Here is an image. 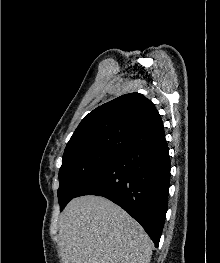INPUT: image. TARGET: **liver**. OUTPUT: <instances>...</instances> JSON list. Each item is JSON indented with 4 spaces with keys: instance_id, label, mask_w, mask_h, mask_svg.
<instances>
[{
    "instance_id": "liver-1",
    "label": "liver",
    "mask_w": 220,
    "mask_h": 263,
    "mask_svg": "<svg viewBox=\"0 0 220 263\" xmlns=\"http://www.w3.org/2000/svg\"><path fill=\"white\" fill-rule=\"evenodd\" d=\"M63 263H149L153 243L141 225L101 196L72 199L60 215Z\"/></svg>"
}]
</instances>
